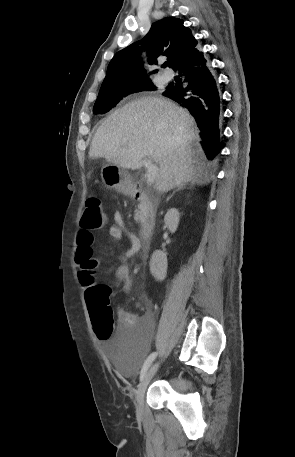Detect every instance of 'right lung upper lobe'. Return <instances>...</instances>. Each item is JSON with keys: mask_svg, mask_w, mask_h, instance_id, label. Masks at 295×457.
I'll return each instance as SVG.
<instances>
[{"mask_svg": "<svg viewBox=\"0 0 295 457\" xmlns=\"http://www.w3.org/2000/svg\"><path fill=\"white\" fill-rule=\"evenodd\" d=\"M148 51L149 64H157V58L167 56L173 68L177 61L197 45L191 30L183 25L182 19L166 17L152 24L148 34L138 42L116 53L110 61L100 91H109L125 85L150 80L143 68L141 50ZM154 70L152 73H156Z\"/></svg>", "mask_w": 295, "mask_h": 457, "instance_id": "cb5924a9", "label": "right lung upper lobe"}]
</instances>
